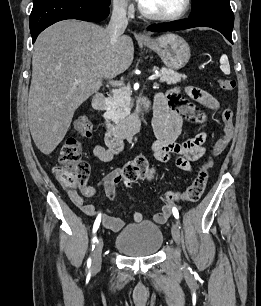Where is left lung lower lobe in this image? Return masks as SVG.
<instances>
[{
    "label": "left lung lower lobe",
    "mask_w": 261,
    "mask_h": 306,
    "mask_svg": "<svg viewBox=\"0 0 261 306\" xmlns=\"http://www.w3.org/2000/svg\"><path fill=\"white\" fill-rule=\"evenodd\" d=\"M234 25L233 12L219 15L193 17L168 23L150 25L147 29L155 32L183 30L194 27H210L221 32L232 43V30Z\"/></svg>",
    "instance_id": "1"
}]
</instances>
